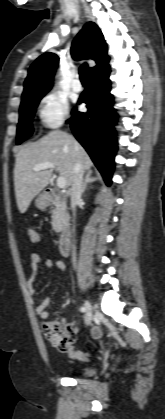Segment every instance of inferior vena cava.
I'll return each instance as SVG.
<instances>
[{"label":"inferior vena cava","mask_w":165,"mask_h":419,"mask_svg":"<svg viewBox=\"0 0 165 419\" xmlns=\"http://www.w3.org/2000/svg\"><path fill=\"white\" fill-rule=\"evenodd\" d=\"M83 174V167L79 162H77L73 168L72 184L69 190V194L71 197V207L73 211L75 210V207L81 198L83 188ZM72 249V260L73 264L76 265L75 245L72 246Z\"/></svg>","instance_id":"obj_1"}]
</instances>
